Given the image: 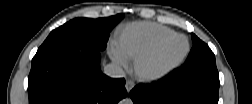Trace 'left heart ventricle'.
I'll return each instance as SVG.
<instances>
[{
  "instance_id": "b2bd125f",
  "label": "left heart ventricle",
  "mask_w": 252,
  "mask_h": 104,
  "mask_svg": "<svg viewBox=\"0 0 252 104\" xmlns=\"http://www.w3.org/2000/svg\"><path fill=\"white\" fill-rule=\"evenodd\" d=\"M185 47L186 41L184 38H174L157 57L148 63V66L152 67L158 62L167 61L178 57L184 51Z\"/></svg>"
}]
</instances>
